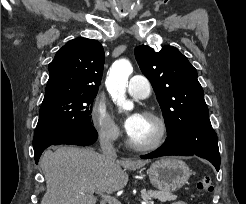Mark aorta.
Segmentation results:
<instances>
[{
  "mask_svg": "<svg viewBox=\"0 0 246 204\" xmlns=\"http://www.w3.org/2000/svg\"><path fill=\"white\" fill-rule=\"evenodd\" d=\"M133 71V67L129 60L120 59L111 66L107 79L106 86L114 101L119 107V111H131L134 108L132 101L126 99V86L128 78Z\"/></svg>",
  "mask_w": 246,
  "mask_h": 204,
  "instance_id": "762f6f07",
  "label": "aorta"
}]
</instances>
